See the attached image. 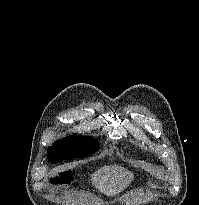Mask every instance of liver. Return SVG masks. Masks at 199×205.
<instances>
[{
    "instance_id": "liver-1",
    "label": "liver",
    "mask_w": 199,
    "mask_h": 205,
    "mask_svg": "<svg viewBox=\"0 0 199 205\" xmlns=\"http://www.w3.org/2000/svg\"><path fill=\"white\" fill-rule=\"evenodd\" d=\"M132 178L133 174L121 166H104L93 174L92 184L102 193L112 196L128 186Z\"/></svg>"
}]
</instances>
